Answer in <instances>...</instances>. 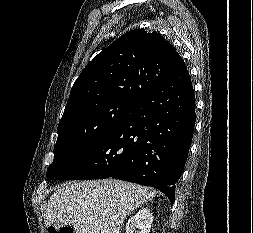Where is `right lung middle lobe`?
<instances>
[{"mask_svg": "<svg viewBox=\"0 0 253 233\" xmlns=\"http://www.w3.org/2000/svg\"><path fill=\"white\" fill-rule=\"evenodd\" d=\"M135 100L109 99L82 106L62 117L54 146L50 180L79 162L106 139L128 114Z\"/></svg>", "mask_w": 253, "mask_h": 233, "instance_id": "1", "label": "right lung middle lobe"}]
</instances>
